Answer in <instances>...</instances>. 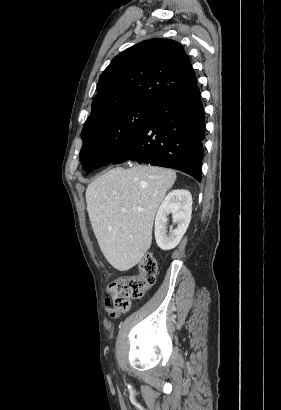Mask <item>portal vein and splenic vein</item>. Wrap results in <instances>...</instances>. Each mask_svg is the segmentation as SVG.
<instances>
[{"label": "portal vein and splenic vein", "instance_id": "portal-vein-and-splenic-vein-1", "mask_svg": "<svg viewBox=\"0 0 281 410\" xmlns=\"http://www.w3.org/2000/svg\"><path fill=\"white\" fill-rule=\"evenodd\" d=\"M137 210L140 211V212L144 211V209L141 208V207H138ZM121 211H122V212H126V209L123 208V209H121Z\"/></svg>", "mask_w": 281, "mask_h": 410}]
</instances>
